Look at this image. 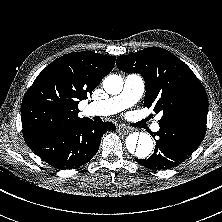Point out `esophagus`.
<instances>
[{"label":"esophagus","mask_w":222,"mask_h":222,"mask_svg":"<svg viewBox=\"0 0 222 222\" xmlns=\"http://www.w3.org/2000/svg\"><path fill=\"white\" fill-rule=\"evenodd\" d=\"M118 131L123 134H128V133L132 132V129L129 127H125V126H119Z\"/></svg>","instance_id":"1"}]
</instances>
